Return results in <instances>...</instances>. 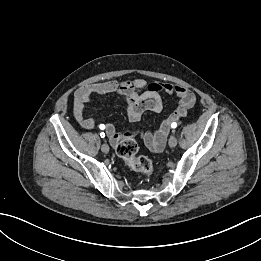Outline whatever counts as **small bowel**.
I'll return each mask as SVG.
<instances>
[{
  "instance_id": "obj_1",
  "label": "small bowel",
  "mask_w": 261,
  "mask_h": 261,
  "mask_svg": "<svg viewBox=\"0 0 261 261\" xmlns=\"http://www.w3.org/2000/svg\"><path fill=\"white\" fill-rule=\"evenodd\" d=\"M117 94L125 103L127 115L133 122L140 120L145 111L161 112L163 110L162 94H174L178 97V106L174 112L163 120L154 132H144L143 139L149 149L160 151L164 148L171 122L184 117L195 104V94L187 87L167 82L147 83L142 78L117 81L107 80L87 85L79 89L74 96V116L78 124L86 130L95 126L93 117H84L83 110L93 95ZM104 125V124H103ZM106 135L116 146L126 134L117 132L113 124H105Z\"/></svg>"
}]
</instances>
